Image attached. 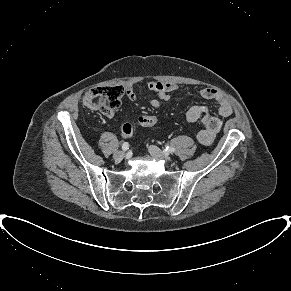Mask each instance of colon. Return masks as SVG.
<instances>
[{
	"instance_id": "1",
	"label": "colon",
	"mask_w": 291,
	"mask_h": 291,
	"mask_svg": "<svg viewBox=\"0 0 291 291\" xmlns=\"http://www.w3.org/2000/svg\"><path fill=\"white\" fill-rule=\"evenodd\" d=\"M124 95L121 86H101L87 91L83 97V106L90 111H107L116 109ZM158 124V118L154 115L140 116L135 123H126L121 128L124 137L133 134L136 125L154 127Z\"/></svg>"
}]
</instances>
